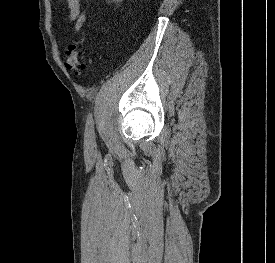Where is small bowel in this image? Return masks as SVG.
<instances>
[{"label": "small bowel", "mask_w": 275, "mask_h": 263, "mask_svg": "<svg viewBox=\"0 0 275 263\" xmlns=\"http://www.w3.org/2000/svg\"><path fill=\"white\" fill-rule=\"evenodd\" d=\"M69 7V19L75 23L76 30L79 31L85 20L84 11L80 0H67Z\"/></svg>", "instance_id": "obj_1"}]
</instances>
